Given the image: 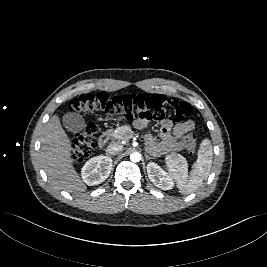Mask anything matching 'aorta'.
<instances>
[{
	"mask_svg": "<svg viewBox=\"0 0 267 267\" xmlns=\"http://www.w3.org/2000/svg\"><path fill=\"white\" fill-rule=\"evenodd\" d=\"M130 159L132 162H139L141 160V154L139 152H133L130 155Z\"/></svg>",
	"mask_w": 267,
	"mask_h": 267,
	"instance_id": "aorta-1",
	"label": "aorta"
}]
</instances>
